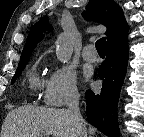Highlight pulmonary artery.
<instances>
[{"label":"pulmonary artery","instance_id":"pulmonary-artery-1","mask_svg":"<svg viewBox=\"0 0 144 137\" xmlns=\"http://www.w3.org/2000/svg\"><path fill=\"white\" fill-rule=\"evenodd\" d=\"M82 56L86 61L95 62L97 60V53L92 44H89L84 47L82 51Z\"/></svg>","mask_w":144,"mask_h":137}]
</instances>
